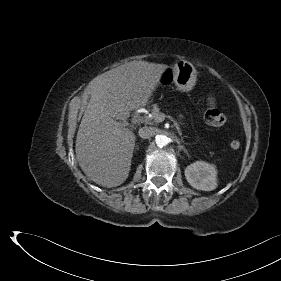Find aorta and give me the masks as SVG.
Returning <instances> with one entry per match:
<instances>
[{"label": "aorta", "mask_w": 281, "mask_h": 281, "mask_svg": "<svg viewBox=\"0 0 281 281\" xmlns=\"http://www.w3.org/2000/svg\"><path fill=\"white\" fill-rule=\"evenodd\" d=\"M155 142L158 147L162 148L169 143V138L166 135L160 134L156 136Z\"/></svg>", "instance_id": "1"}]
</instances>
